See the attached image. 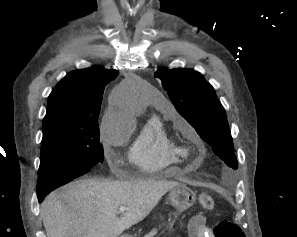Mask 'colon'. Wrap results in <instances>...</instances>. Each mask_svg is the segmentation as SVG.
Returning <instances> with one entry per match:
<instances>
[{"label":"colon","mask_w":297,"mask_h":237,"mask_svg":"<svg viewBox=\"0 0 297 237\" xmlns=\"http://www.w3.org/2000/svg\"><path fill=\"white\" fill-rule=\"evenodd\" d=\"M199 204L205 211H211L215 207L214 199L207 193H202L199 196ZM200 221L196 222V226ZM214 237H245L242 229L235 223L222 220L218 222L213 228Z\"/></svg>","instance_id":"colon-1"}]
</instances>
